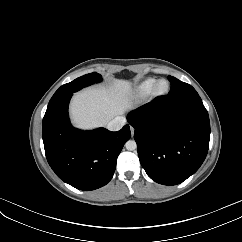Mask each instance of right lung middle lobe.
I'll return each instance as SVG.
<instances>
[{"instance_id": "1", "label": "right lung middle lobe", "mask_w": 242, "mask_h": 242, "mask_svg": "<svg viewBox=\"0 0 242 242\" xmlns=\"http://www.w3.org/2000/svg\"><path fill=\"white\" fill-rule=\"evenodd\" d=\"M102 80L101 75L93 72L84 76H81L70 83L62 85L53 95V98L59 97L67 93L76 92L83 87L89 86L95 82H100Z\"/></svg>"}]
</instances>
